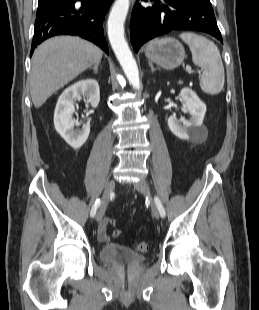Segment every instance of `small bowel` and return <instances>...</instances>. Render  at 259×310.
<instances>
[{"label": "small bowel", "mask_w": 259, "mask_h": 310, "mask_svg": "<svg viewBox=\"0 0 259 310\" xmlns=\"http://www.w3.org/2000/svg\"><path fill=\"white\" fill-rule=\"evenodd\" d=\"M97 237H98V240L101 241V242H109L110 238L107 234V224L106 222H101L98 226V229H97Z\"/></svg>", "instance_id": "1"}]
</instances>
